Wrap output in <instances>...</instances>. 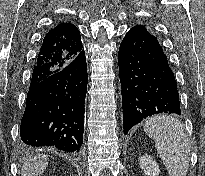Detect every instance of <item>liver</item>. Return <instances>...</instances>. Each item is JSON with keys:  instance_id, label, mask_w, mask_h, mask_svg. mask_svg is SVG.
Returning <instances> with one entry per match:
<instances>
[{"instance_id": "6515ba94", "label": "liver", "mask_w": 205, "mask_h": 176, "mask_svg": "<svg viewBox=\"0 0 205 176\" xmlns=\"http://www.w3.org/2000/svg\"><path fill=\"white\" fill-rule=\"evenodd\" d=\"M48 166V156L38 154L26 160L22 167V176H41Z\"/></svg>"}]
</instances>
